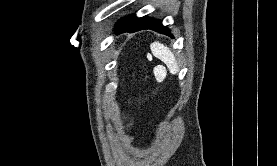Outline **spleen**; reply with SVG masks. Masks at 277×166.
Masks as SVG:
<instances>
[{
  "mask_svg": "<svg viewBox=\"0 0 277 166\" xmlns=\"http://www.w3.org/2000/svg\"><path fill=\"white\" fill-rule=\"evenodd\" d=\"M150 48L152 54L165 63L172 74H176L178 72L179 68L176 58L173 52L167 46H164L159 42H153L150 45Z\"/></svg>",
  "mask_w": 277,
  "mask_h": 166,
  "instance_id": "3e777b00",
  "label": "spleen"
}]
</instances>
